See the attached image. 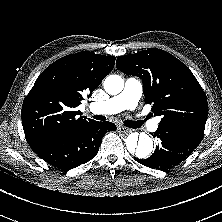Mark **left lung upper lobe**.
Returning <instances> with one entry per match:
<instances>
[{"instance_id": "5c2ea615", "label": "left lung upper lobe", "mask_w": 222, "mask_h": 222, "mask_svg": "<svg viewBox=\"0 0 222 222\" xmlns=\"http://www.w3.org/2000/svg\"><path fill=\"white\" fill-rule=\"evenodd\" d=\"M117 69L142 79L145 103L162 116L160 123H184L205 128L206 95L189 68L168 52L149 48L120 56Z\"/></svg>"}]
</instances>
